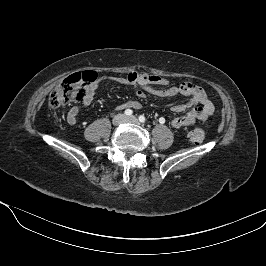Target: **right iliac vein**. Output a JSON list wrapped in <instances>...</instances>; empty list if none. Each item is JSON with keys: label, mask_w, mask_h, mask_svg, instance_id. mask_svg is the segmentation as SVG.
Instances as JSON below:
<instances>
[{"label": "right iliac vein", "mask_w": 266, "mask_h": 266, "mask_svg": "<svg viewBox=\"0 0 266 266\" xmlns=\"http://www.w3.org/2000/svg\"><path fill=\"white\" fill-rule=\"evenodd\" d=\"M126 121V117L123 114H117L114 118H113V125L117 126L122 124L123 122Z\"/></svg>", "instance_id": "1"}]
</instances>
